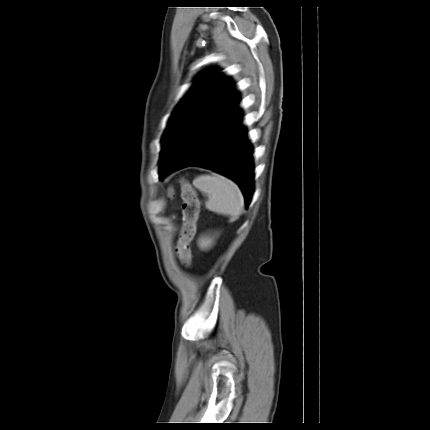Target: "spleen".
<instances>
[{"instance_id": "obj_1", "label": "spleen", "mask_w": 430, "mask_h": 430, "mask_svg": "<svg viewBox=\"0 0 430 430\" xmlns=\"http://www.w3.org/2000/svg\"><path fill=\"white\" fill-rule=\"evenodd\" d=\"M193 185L208 196V210L225 215H239L244 209V201L239 187L221 175H201L193 180Z\"/></svg>"}]
</instances>
